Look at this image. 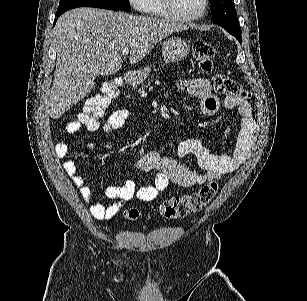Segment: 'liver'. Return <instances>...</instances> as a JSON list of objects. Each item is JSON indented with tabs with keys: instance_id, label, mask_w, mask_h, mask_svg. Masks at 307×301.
Returning <instances> with one entry per match:
<instances>
[{
	"instance_id": "1",
	"label": "liver",
	"mask_w": 307,
	"mask_h": 301,
	"mask_svg": "<svg viewBox=\"0 0 307 301\" xmlns=\"http://www.w3.org/2000/svg\"><path fill=\"white\" fill-rule=\"evenodd\" d=\"M188 24L156 16H136L105 8H72L59 16L53 30L56 68L50 92V116L59 118L87 96L98 74H115L122 48H130V64L151 52L157 42Z\"/></svg>"
}]
</instances>
